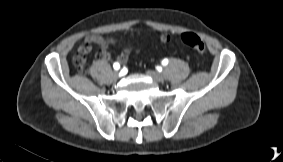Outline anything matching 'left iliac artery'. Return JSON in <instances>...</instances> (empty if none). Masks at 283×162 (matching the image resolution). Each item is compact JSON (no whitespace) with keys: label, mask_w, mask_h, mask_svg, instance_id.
Segmentation results:
<instances>
[{"label":"left iliac artery","mask_w":283,"mask_h":162,"mask_svg":"<svg viewBox=\"0 0 283 162\" xmlns=\"http://www.w3.org/2000/svg\"><path fill=\"white\" fill-rule=\"evenodd\" d=\"M162 64H163V65H167V64H168V60H167V59H164V60L162 61Z\"/></svg>","instance_id":"1"}]
</instances>
